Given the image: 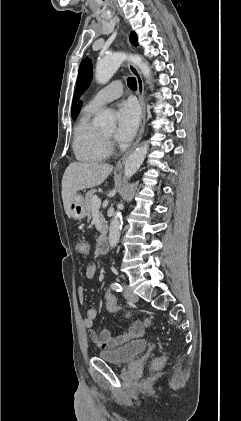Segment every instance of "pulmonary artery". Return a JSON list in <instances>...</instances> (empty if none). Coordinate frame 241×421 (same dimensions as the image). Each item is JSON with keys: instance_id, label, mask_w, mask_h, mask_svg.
Wrapping results in <instances>:
<instances>
[{"instance_id": "e3ab8cb5", "label": "pulmonary artery", "mask_w": 241, "mask_h": 421, "mask_svg": "<svg viewBox=\"0 0 241 421\" xmlns=\"http://www.w3.org/2000/svg\"><path fill=\"white\" fill-rule=\"evenodd\" d=\"M123 93V85L120 81H114L98 91L90 100L88 106L99 109L103 105L119 98Z\"/></svg>"}]
</instances>
